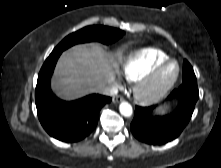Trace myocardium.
<instances>
[{"label": "myocardium", "instance_id": "1", "mask_svg": "<svg viewBox=\"0 0 221 168\" xmlns=\"http://www.w3.org/2000/svg\"><path fill=\"white\" fill-rule=\"evenodd\" d=\"M174 65V73L165 81H160L163 70ZM180 74V66L176 60L167 59L155 66L148 74L141 78L136 85L135 94L144 104H152L162 99L176 84Z\"/></svg>", "mask_w": 221, "mask_h": 168}]
</instances>
